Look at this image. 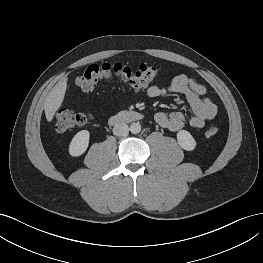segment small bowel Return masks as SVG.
Instances as JSON below:
<instances>
[{"mask_svg": "<svg viewBox=\"0 0 263 263\" xmlns=\"http://www.w3.org/2000/svg\"><path fill=\"white\" fill-rule=\"evenodd\" d=\"M147 94L151 98L167 94H180L185 97L193 113L190 119H187L184 113L178 110L169 114L162 111L155 114L156 123L171 131H179L187 123L194 128H203L208 121L215 118L217 113L216 105L206 96V88L184 74L172 78L167 87L151 85L147 89Z\"/></svg>", "mask_w": 263, "mask_h": 263, "instance_id": "small-bowel-1", "label": "small bowel"}]
</instances>
